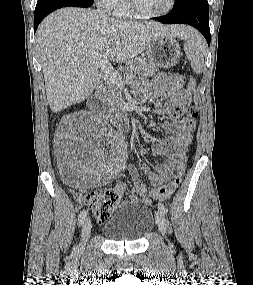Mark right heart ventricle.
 <instances>
[{
    "mask_svg": "<svg viewBox=\"0 0 253 285\" xmlns=\"http://www.w3.org/2000/svg\"><path fill=\"white\" fill-rule=\"evenodd\" d=\"M113 13L120 18H130L134 16L129 8L128 0H118L113 8Z\"/></svg>",
    "mask_w": 253,
    "mask_h": 285,
    "instance_id": "e07e8e85",
    "label": "right heart ventricle"
}]
</instances>
